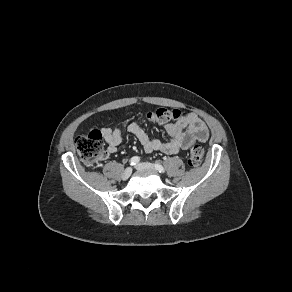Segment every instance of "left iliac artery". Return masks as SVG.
I'll return each mask as SVG.
<instances>
[{"instance_id": "1", "label": "left iliac artery", "mask_w": 292, "mask_h": 292, "mask_svg": "<svg viewBox=\"0 0 292 292\" xmlns=\"http://www.w3.org/2000/svg\"><path fill=\"white\" fill-rule=\"evenodd\" d=\"M154 167H155L159 172H161V173H164V172H165L164 167H163L161 164H159V163H155V164H154Z\"/></svg>"}]
</instances>
